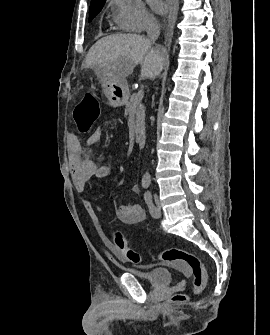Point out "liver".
<instances>
[{"label": "liver", "instance_id": "6515ba94", "mask_svg": "<svg viewBox=\"0 0 270 335\" xmlns=\"http://www.w3.org/2000/svg\"><path fill=\"white\" fill-rule=\"evenodd\" d=\"M164 52L137 34H112L90 48L84 68H93L100 78L126 82L135 66L142 64L144 78H156L163 70Z\"/></svg>", "mask_w": 270, "mask_h": 335}]
</instances>
